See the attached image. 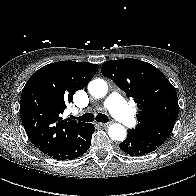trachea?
<instances>
[{
  "mask_svg": "<svg viewBox=\"0 0 196 196\" xmlns=\"http://www.w3.org/2000/svg\"><path fill=\"white\" fill-rule=\"evenodd\" d=\"M94 119L98 122L106 123L109 121L108 117L104 114H98L96 117L92 113H86L83 116L77 117V120L82 122H92Z\"/></svg>",
  "mask_w": 196,
  "mask_h": 196,
  "instance_id": "trachea-1",
  "label": "trachea"
}]
</instances>
